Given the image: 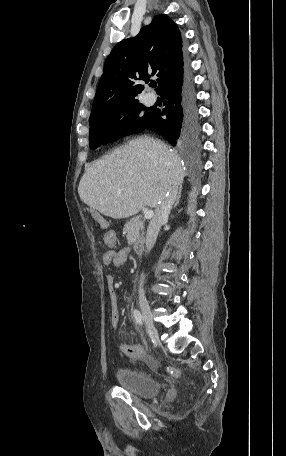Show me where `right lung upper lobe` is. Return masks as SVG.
<instances>
[{
	"label": "right lung upper lobe",
	"instance_id": "1",
	"mask_svg": "<svg viewBox=\"0 0 286 456\" xmlns=\"http://www.w3.org/2000/svg\"><path fill=\"white\" fill-rule=\"evenodd\" d=\"M187 69L177 25L166 15H157L134 38L119 42L104 65L89 122L105 111L138 103L144 89L139 80L156 76L159 94L180 79Z\"/></svg>",
	"mask_w": 286,
	"mask_h": 456
}]
</instances>
